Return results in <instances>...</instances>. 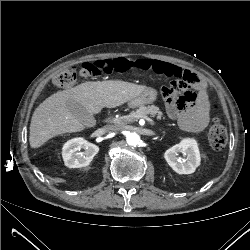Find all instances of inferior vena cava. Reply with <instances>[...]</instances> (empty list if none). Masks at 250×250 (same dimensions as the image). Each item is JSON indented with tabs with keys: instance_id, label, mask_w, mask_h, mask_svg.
I'll return each instance as SVG.
<instances>
[{
	"instance_id": "inferior-vena-cava-1",
	"label": "inferior vena cava",
	"mask_w": 250,
	"mask_h": 250,
	"mask_svg": "<svg viewBox=\"0 0 250 250\" xmlns=\"http://www.w3.org/2000/svg\"><path fill=\"white\" fill-rule=\"evenodd\" d=\"M104 130L107 132V133H113V132H116L119 130V127L115 126V125H106L104 127Z\"/></svg>"
}]
</instances>
